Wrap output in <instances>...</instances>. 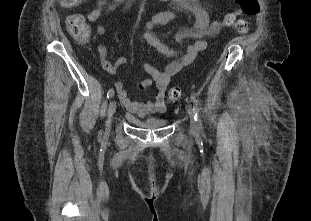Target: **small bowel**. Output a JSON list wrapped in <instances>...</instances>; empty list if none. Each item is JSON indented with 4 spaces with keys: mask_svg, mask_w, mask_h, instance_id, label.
I'll list each match as a JSON object with an SVG mask.
<instances>
[{
    "mask_svg": "<svg viewBox=\"0 0 311 221\" xmlns=\"http://www.w3.org/2000/svg\"><path fill=\"white\" fill-rule=\"evenodd\" d=\"M120 0H99L96 7L90 11L86 18L89 22L97 21L103 12H111L114 10ZM175 11H164L156 14L151 21L147 23V31L145 33L146 41L153 46L159 53L170 58L171 60L165 65L163 70H158L152 64L146 63L144 69L150 78L140 83V88L145 89L153 83L156 87L154 99L148 102H137L129 98L124 83L118 81L115 88L121 103L132 114L138 117H144L149 114H161L166 111L165 97L171 78L177 74L182 68L188 66L196 58V56L207 48L204 37L214 34L219 26L218 20H210L206 9L198 0H173ZM190 11L196 17L195 24L190 29H185L176 34L175 40L182 42L185 40L193 41L184 49H173L158 39L150 29L156 25H165L174 21L177 17L176 11ZM97 31L103 33L105 26L98 25ZM98 51L101 57L103 68L110 74H116L117 69L126 65V59L119 57L112 64L108 57L105 47L99 46Z\"/></svg>",
    "mask_w": 311,
    "mask_h": 221,
    "instance_id": "c3829d8e",
    "label": "small bowel"
}]
</instances>
